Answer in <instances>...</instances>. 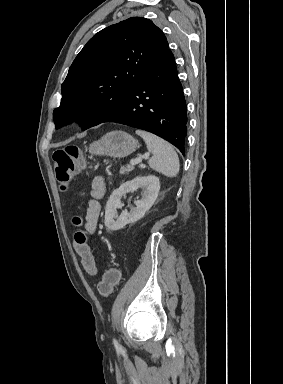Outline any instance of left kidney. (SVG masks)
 <instances>
[{
  "label": "left kidney",
  "mask_w": 283,
  "mask_h": 384,
  "mask_svg": "<svg viewBox=\"0 0 283 384\" xmlns=\"http://www.w3.org/2000/svg\"><path fill=\"white\" fill-rule=\"evenodd\" d=\"M138 188H143L141 200L134 202L136 208H131L130 212H122L120 216L117 214L118 208H122V196L128 192H137ZM160 190V182L156 176H143V178H134L131 182L121 184L120 188L112 192L105 210V226L111 232L122 230L126 224H134L137 220L143 218L145 212L150 210Z\"/></svg>",
  "instance_id": "left-kidney-1"
}]
</instances>
